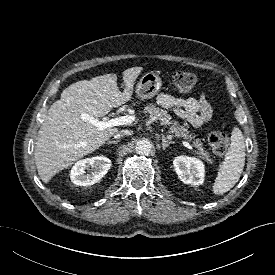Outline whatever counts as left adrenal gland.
<instances>
[{
	"label": "left adrenal gland",
	"mask_w": 275,
	"mask_h": 275,
	"mask_svg": "<svg viewBox=\"0 0 275 275\" xmlns=\"http://www.w3.org/2000/svg\"><path fill=\"white\" fill-rule=\"evenodd\" d=\"M173 141H167L164 136H162V147L165 150L170 144H173Z\"/></svg>",
	"instance_id": "a2214340"
}]
</instances>
